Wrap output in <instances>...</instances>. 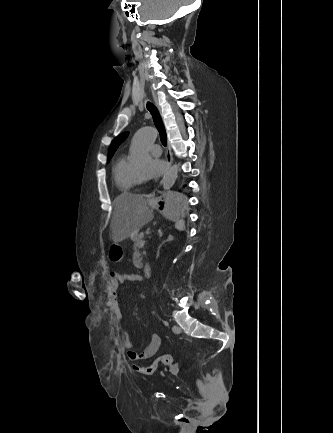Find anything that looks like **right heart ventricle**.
I'll return each mask as SVG.
<instances>
[{
	"label": "right heart ventricle",
	"mask_w": 333,
	"mask_h": 433,
	"mask_svg": "<svg viewBox=\"0 0 333 433\" xmlns=\"http://www.w3.org/2000/svg\"><path fill=\"white\" fill-rule=\"evenodd\" d=\"M133 169V166L124 154L119 155L115 160L113 165V180L120 192H128L136 185Z\"/></svg>",
	"instance_id": "obj_1"
}]
</instances>
